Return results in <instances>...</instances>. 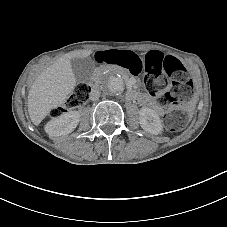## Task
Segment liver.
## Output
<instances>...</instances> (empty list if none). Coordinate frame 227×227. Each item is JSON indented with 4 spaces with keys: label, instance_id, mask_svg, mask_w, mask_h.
I'll list each match as a JSON object with an SVG mask.
<instances>
[{
    "label": "liver",
    "instance_id": "1",
    "mask_svg": "<svg viewBox=\"0 0 227 227\" xmlns=\"http://www.w3.org/2000/svg\"><path fill=\"white\" fill-rule=\"evenodd\" d=\"M92 50H74L58 58L42 71L28 92V113L32 123L38 126L51 112L63 105L76 86L71 61L86 58Z\"/></svg>",
    "mask_w": 227,
    "mask_h": 227
}]
</instances>
